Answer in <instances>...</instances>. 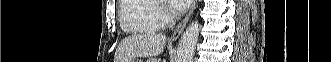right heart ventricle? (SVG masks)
<instances>
[{"label":"right heart ventricle","instance_id":"obj_1","mask_svg":"<svg viewBox=\"0 0 331 62\" xmlns=\"http://www.w3.org/2000/svg\"><path fill=\"white\" fill-rule=\"evenodd\" d=\"M155 7L150 0H121L118 15L122 29L128 33H151L158 30Z\"/></svg>","mask_w":331,"mask_h":62}]
</instances>
